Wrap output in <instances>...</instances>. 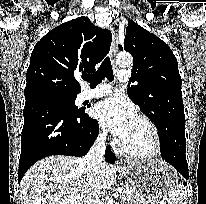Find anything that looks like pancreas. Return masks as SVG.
<instances>
[{"instance_id": "pancreas-1", "label": "pancreas", "mask_w": 206, "mask_h": 204, "mask_svg": "<svg viewBox=\"0 0 206 204\" xmlns=\"http://www.w3.org/2000/svg\"><path fill=\"white\" fill-rule=\"evenodd\" d=\"M127 189L131 191V194L127 196V204H151L136 193L133 188L128 186Z\"/></svg>"}]
</instances>
